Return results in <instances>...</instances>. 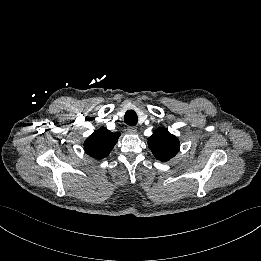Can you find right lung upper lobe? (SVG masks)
Instances as JSON below:
<instances>
[{"mask_svg":"<svg viewBox=\"0 0 261 261\" xmlns=\"http://www.w3.org/2000/svg\"><path fill=\"white\" fill-rule=\"evenodd\" d=\"M119 136V132L112 133L101 127L86 139L84 150L93 158L103 159L109 155Z\"/></svg>","mask_w":261,"mask_h":261,"instance_id":"1","label":"right lung upper lobe"}]
</instances>
